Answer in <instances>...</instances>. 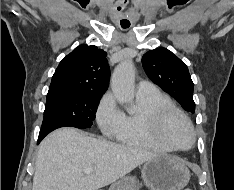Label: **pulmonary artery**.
Wrapping results in <instances>:
<instances>
[{"label":"pulmonary artery","mask_w":234,"mask_h":190,"mask_svg":"<svg viewBox=\"0 0 234 190\" xmlns=\"http://www.w3.org/2000/svg\"><path fill=\"white\" fill-rule=\"evenodd\" d=\"M157 88L149 81H140L137 86V93L138 94H148L155 92Z\"/></svg>","instance_id":"1"}]
</instances>
